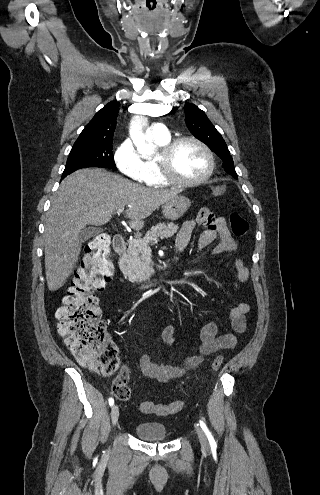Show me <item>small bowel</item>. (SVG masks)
Wrapping results in <instances>:
<instances>
[{
    "mask_svg": "<svg viewBox=\"0 0 320 495\" xmlns=\"http://www.w3.org/2000/svg\"><path fill=\"white\" fill-rule=\"evenodd\" d=\"M197 224L205 226L198 240L197 253H200L216 239H219V243L213 248V255L224 252H237L238 242L231 234L227 221L223 217L216 216L209 208L201 209L195 219H190L183 223L176 237V248L179 252H183L187 248L192 232ZM234 268L236 276L233 286L237 291L240 284L248 280L249 271L241 257L234 259ZM249 308V304L245 301L238 302L231 308L228 320L235 332L241 333L245 330V316ZM161 336L165 343L173 345L175 342V327L173 325H167L162 330ZM235 345L236 337L233 334L218 335V326L216 322L211 321L201 329L198 352L192 355H185L181 366L157 364L148 355L141 357L139 366L145 377L166 383L183 376L188 371L198 368L203 363L205 357L221 350L233 348ZM120 374H125L129 377L127 368H124Z\"/></svg>",
    "mask_w": 320,
    "mask_h": 495,
    "instance_id": "small-bowel-1",
    "label": "small bowel"
}]
</instances>
